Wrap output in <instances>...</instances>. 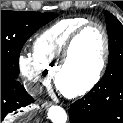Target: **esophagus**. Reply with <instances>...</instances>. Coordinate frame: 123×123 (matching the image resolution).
<instances>
[{"instance_id": "obj_1", "label": "esophagus", "mask_w": 123, "mask_h": 123, "mask_svg": "<svg viewBox=\"0 0 123 123\" xmlns=\"http://www.w3.org/2000/svg\"><path fill=\"white\" fill-rule=\"evenodd\" d=\"M52 105V102H50V101H44V102H42V104H41V106L43 107V108H48V107H50Z\"/></svg>"}]
</instances>
